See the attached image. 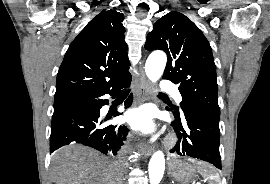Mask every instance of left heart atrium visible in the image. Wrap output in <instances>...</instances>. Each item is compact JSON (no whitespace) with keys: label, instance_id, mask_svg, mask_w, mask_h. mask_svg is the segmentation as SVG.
Here are the masks:
<instances>
[{"label":"left heart atrium","instance_id":"1","mask_svg":"<svg viewBox=\"0 0 270 184\" xmlns=\"http://www.w3.org/2000/svg\"><path fill=\"white\" fill-rule=\"evenodd\" d=\"M126 120L137 131L145 134H151L156 131V125L153 120V113L147 107H139L130 110L126 114Z\"/></svg>","mask_w":270,"mask_h":184}]
</instances>
